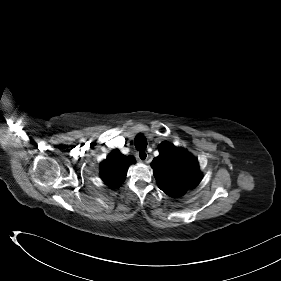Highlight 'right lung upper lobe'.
Segmentation results:
<instances>
[{"label":"right lung upper lobe","instance_id":"obj_1","mask_svg":"<svg viewBox=\"0 0 281 281\" xmlns=\"http://www.w3.org/2000/svg\"><path fill=\"white\" fill-rule=\"evenodd\" d=\"M135 163L131 156L114 150L100 165V176L106 185L117 188L124 181L130 164Z\"/></svg>","mask_w":281,"mask_h":281}]
</instances>
